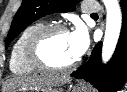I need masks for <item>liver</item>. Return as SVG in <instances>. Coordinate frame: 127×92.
Returning a JSON list of instances; mask_svg holds the SVG:
<instances>
[{
  "label": "liver",
  "mask_w": 127,
  "mask_h": 92,
  "mask_svg": "<svg viewBox=\"0 0 127 92\" xmlns=\"http://www.w3.org/2000/svg\"><path fill=\"white\" fill-rule=\"evenodd\" d=\"M71 79L65 76L41 75L33 77H13L3 84V92H18L22 90L31 91H56V87L70 82Z\"/></svg>",
  "instance_id": "1"
}]
</instances>
